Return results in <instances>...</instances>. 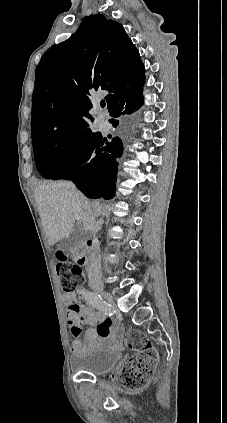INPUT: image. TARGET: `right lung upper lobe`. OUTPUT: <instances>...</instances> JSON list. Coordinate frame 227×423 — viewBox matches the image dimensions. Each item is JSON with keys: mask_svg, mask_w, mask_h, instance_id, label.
<instances>
[{"mask_svg": "<svg viewBox=\"0 0 227 423\" xmlns=\"http://www.w3.org/2000/svg\"><path fill=\"white\" fill-rule=\"evenodd\" d=\"M145 68L123 26L102 14L86 17L69 39L50 47L35 72L32 142L93 132L91 92L105 90L110 107L141 94Z\"/></svg>", "mask_w": 227, "mask_h": 423, "instance_id": "cb5924a9", "label": "right lung upper lobe"}]
</instances>
